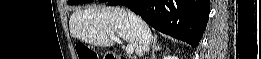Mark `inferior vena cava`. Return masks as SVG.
I'll list each match as a JSON object with an SVG mask.
<instances>
[{
  "mask_svg": "<svg viewBox=\"0 0 261 59\" xmlns=\"http://www.w3.org/2000/svg\"><path fill=\"white\" fill-rule=\"evenodd\" d=\"M128 16L130 20L131 27L136 30L140 42L143 44V51L148 52L150 42L152 39V34L148 28V26L145 24V22L137 16L134 12L128 10Z\"/></svg>",
  "mask_w": 261,
  "mask_h": 59,
  "instance_id": "inferior-vena-cava-1",
  "label": "inferior vena cava"
}]
</instances>
